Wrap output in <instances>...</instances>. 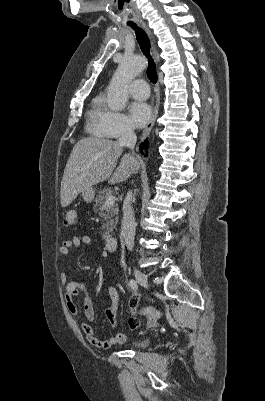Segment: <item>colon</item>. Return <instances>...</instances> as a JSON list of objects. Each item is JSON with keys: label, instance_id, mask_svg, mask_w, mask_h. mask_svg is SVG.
Returning a JSON list of instances; mask_svg holds the SVG:
<instances>
[{"label": "colon", "instance_id": "obj_1", "mask_svg": "<svg viewBox=\"0 0 265 401\" xmlns=\"http://www.w3.org/2000/svg\"><path fill=\"white\" fill-rule=\"evenodd\" d=\"M77 213L75 210H69L64 215V224L67 226H71L76 222ZM140 317H145L148 320L150 325H154V323L161 318V313L152 308V307H144L140 310H136L135 313L130 318V328L136 329L140 324Z\"/></svg>", "mask_w": 265, "mask_h": 401}]
</instances>
